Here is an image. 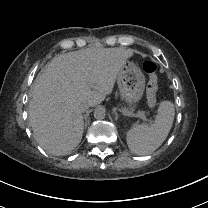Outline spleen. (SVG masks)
I'll list each match as a JSON object with an SVG mask.
<instances>
[{"label":"spleen","instance_id":"3e777b00","mask_svg":"<svg viewBox=\"0 0 208 208\" xmlns=\"http://www.w3.org/2000/svg\"><path fill=\"white\" fill-rule=\"evenodd\" d=\"M175 108L171 101H162L152 124L135 125L127 132L131 152L147 155L157 150L167 138L172 127Z\"/></svg>","mask_w":208,"mask_h":208}]
</instances>
